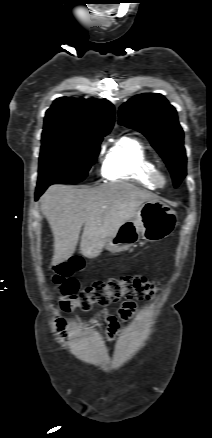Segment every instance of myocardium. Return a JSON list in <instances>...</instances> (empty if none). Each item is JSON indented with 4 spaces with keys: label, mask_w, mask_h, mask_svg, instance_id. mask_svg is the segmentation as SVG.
Returning a JSON list of instances; mask_svg holds the SVG:
<instances>
[{
    "label": "myocardium",
    "mask_w": 212,
    "mask_h": 438,
    "mask_svg": "<svg viewBox=\"0 0 212 438\" xmlns=\"http://www.w3.org/2000/svg\"><path fill=\"white\" fill-rule=\"evenodd\" d=\"M149 178L157 188H162L168 183L167 173L160 167H153L149 171Z\"/></svg>",
    "instance_id": "obj_1"
}]
</instances>
